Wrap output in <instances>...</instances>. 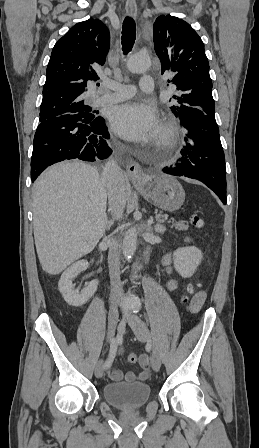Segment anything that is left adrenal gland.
I'll list each match as a JSON object with an SVG mask.
<instances>
[{
    "label": "left adrenal gland",
    "mask_w": 259,
    "mask_h": 448,
    "mask_svg": "<svg viewBox=\"0 0 259 448\" xmlns=\"http://www.w3.org/2000/svg\"><path fill=\"white\" fill-rule=\"evenodd\" d=\"M166 228L162 226V224H156L155 226V232H158V234H164Z\"/></svg>",
    "instance_id": "1"
}]
</instances>
